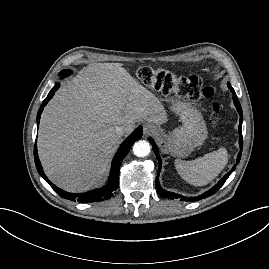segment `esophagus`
Returning <instances> with one entry per match:
<instances>
[{
	"label": "esophagus",
	"instance_id": "esophagus-1",
	"mask_svg": "<svg viewBox=\"0 0 269 269\" xmlns=\"http://www.w3.org/2000/svg\"><path fill=\"white\" fill-rule=\"evenodd\" d=\"M156 131V127L153 124L146 123L143 126L144 135H150Z\"/></svg>",
	"mask_w": 269,
	"mask_h": 269
}]
</instances>
